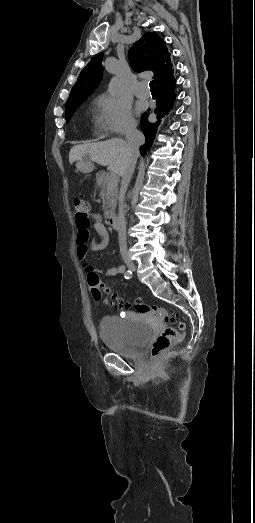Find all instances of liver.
<instances>
[{"label":"liver","instance_id":"6515ba94","mask_svg":"<svg viewBox=\"0 0 255 523\" xmlns=\"http://www.w3.org/2000/svg\"><path fill=\"white\" fill-rule=\"evenodd\" d=\"M127 142L118 140V138H112V140H106V142H97V144H80V146H73L69 152V162H78L76 164L78 170H81L82 166L87 162H83V158H89L91 162H96L100 166H108L110 172H115L120 176L124 168V156L123 152L126 148ZM138 156V154H137ZM91 170L93 166L91 164Z\"/></svg>","mask_w":255,"mask_h":523}]
</instances>
